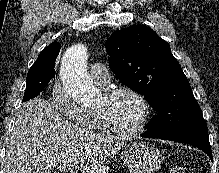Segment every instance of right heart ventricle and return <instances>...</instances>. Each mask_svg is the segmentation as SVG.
<instances>
[{
    "mask_svg": "<svg viewBox=\"0 0 219 173\" xmlns=\"http://www.w3.org/2000/svg\"><path fill=\"white\" fill-rule=\"evenodd\" d=\"M86 114V122L84 126L88 129L91 130H97V131H102L104 130V127L102 126L96 111H88L85 112Z\"/></svg>",
    "mask_w": 219,
    "mask_h": 173,
    "instance_id": "e07e8e85",
    "label": "right heart ventricle"
}]
</instances>
